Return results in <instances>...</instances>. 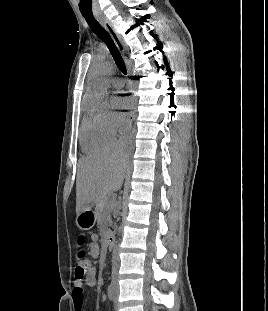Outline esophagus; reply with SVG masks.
I'll list each match as a JSON object with an SVG mask.
<instances>
[{
    "label": "esophagus",
    "mask_w": 268,
    "mask_h": 311,
    "mask_svg": "<svg viewBox=\"0 0 268 311\" xmlns=\"http://www.w3.org/2000/svg\"><path fill=\"white\" fill-rule=\"evenodd\" d=\"M97 19L100 21V23L104 26V28L109 32V34L111 35L112 39L114 40L117 48L119 49V51L124 54L125 52V45L120 37V35L118 34V32L115 30V28L113 27V25L111 24V22L103 15H98ZM133 101L137 102L138 101V92H133ZM135 119V106H133L129 112L128 115V125L129 127L132 126V123Z\"/></svg>",
    "instance_id": "1"
}]
</instances>
